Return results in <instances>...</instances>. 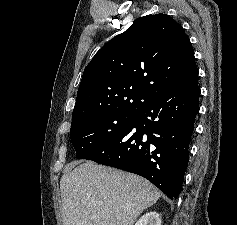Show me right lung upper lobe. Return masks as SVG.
<instances>
[{"label": "right lung upper lobe", "mask_w": 237, "mask_h": 225, "mask_svg": "<svg viewBox=\"0 0 237 225\" xmlns=\"http://www.w3.org/2000/svg\"><path fill=\"white\" fill-rule=\"evenodd\" d=\"M196 85L195 56L181 25L166 14L147 15L86 66L72 123L104 113H136L163 93Z\"/></svg>", "instance_id": "right-lung-upper-lobe-1"}]
</instances>
